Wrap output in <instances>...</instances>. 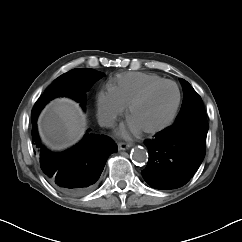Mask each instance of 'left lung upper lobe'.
Returning a JSON list of instances; mask_svg holds the SVG:
<instances>
[{"label":"left lung upper lobe","instance_id":"5c2ea615","mask_svg":"<svg viewBox=\"0 0 242 242\" xmlns=\"http://www.w3.org/2000/svg\"><path fill=\"white\" fill-rule=\"evenodd\" d=\"M180 82L184 93L180 112L176 122L163 131L172 134H183L193 131L207 132L209 126L201 97L187 81L180 79Z\"/></svg>","mask_w":242,"mask_h":242}]
</instances>
